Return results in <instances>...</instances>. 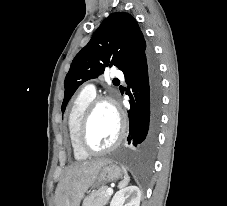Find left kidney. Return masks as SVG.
<instances>
[{"mask_svg": "<svg viewBox=\"0 0 227 206\" xmlns=\"http://www.w3.org/2000/svg\"><path fill=\"white\" fill-rule=\"evenodd\" d=\"M140 199V189L136 186H128L115 193L110 202V206H139Z\"/></svg>", "mask_w": 227, "mask_h": 206, "instance_id": "obj_1", "label": "left kidney"}]
</instances>
